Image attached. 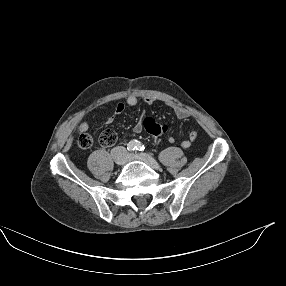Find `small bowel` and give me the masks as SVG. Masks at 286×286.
Listing matches in <instances>:
<instances>
[{
	"instance_id": "1",
	"label": "small bowel",
	"mask_w": 286,
	"mask_h": 286,
	"mask_svg": "<svg viewBox=\"0 0 286 286\" xmlns=\"http://www.w3.org/2000/svg\"><path fill=\"white\" fill-rule=\"evenodd\" d=\"M143 101L146 103V104H152L156 101V98L153 97V96H146L144 97ZM139 100L138 98L135 96V95H130L127 99H126V103H119L117 104L116 108H115V111H114V114L111 115L108 119H107V123H112L115 118L122 114L125 110V107L128 106V107H135L137 104H138ZM173 111L175 113V115L180 118V119H187L191 116V112L183 107H180V106H173ZM149 119L148 117L146 116H141L139 118V120L135 123L134 127H133V131L136 133V134H140L144 131V124H145V121ZM80 130L81 132H84L86 133L88 131V124L86 122H82L81 125H80ZM198 134L196 131H190L189 134H188V137L184 140L181 141L180 145L182 148H189L191 146V144L196 140ZM168 141L170 143H174L176 141L175 137L174 136H170L168 138Z\"/></svg>"
}]
</instances>
